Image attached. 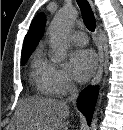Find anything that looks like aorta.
I'll list each match as a JSON object with an SVG mask.
<instances>
[{"label": "aorta", "mask_w": 123, "mask_h": 130, "mask_svg": "<svg viewBox=\"0 0 123 130\" xmlns=\"http://www.w3.org/2000/svg\"><path fill=\"white\" fill-rule=\"evenodd\" d=\"M78 16L77 10L72 6H65L55 15L50 27L49 36L52 48V60L61 62L65 59L69 48V31ZM97 116L93 115L90 129L97 130Z\"/></svg>", "instance_id": "obj_1"}]
</instances>
